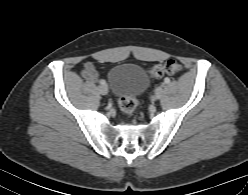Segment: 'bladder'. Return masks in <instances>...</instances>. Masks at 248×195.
Instances as JSON below:
<instances>
[{
	"instance_id": "1",
	"label": "bladder",
	"mask_w": 248,
	"mask_h": 195,
	"mask_svg": "<svg viewBox=\"0 0 248 195\" xmlns=\"http://www.w3.org/2000/svg\"><path fill=\"white\" fill-rule=\"evenodd\" d=\"M108 81L115 95L139 97L147 88L149 79L144 70L137 64L125 63L112 67Z\"/></svg>"
}]
</instances>
